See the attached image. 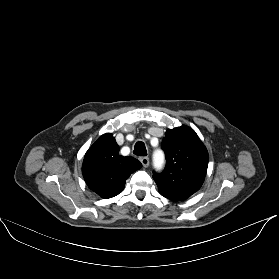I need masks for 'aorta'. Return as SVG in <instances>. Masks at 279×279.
<instances>
[{"label": "aorta", "mask_w": 279, "mask_h": 279, "mask_svg": "<svg viewBox=\"0 0 279 279\" xmlns=\"http://www.w3.org/2000/svg\"><path fill=\"white\" fill-rule=\"evenodd\" d=\"M162 161H163V155H162V153H161V152H156V153L154 154V163H155L156 165H160V164L162 163Z\"/></svg>", "instance_id": "762f6f07"}]
</instances>
